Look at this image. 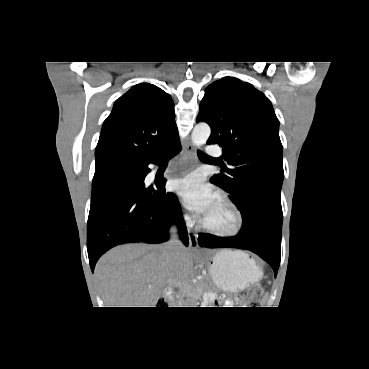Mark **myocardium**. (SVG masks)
<instances>
[{"instance_id":"1","label":"myocardium","mask_w":369,"mask_h":369,"mask_svg":"<svg viewBox=\"0 0 369 369\" xmlns=\"http://www.w3.org/2000/svg\"><path fill=\"white\" fill-rule=\"evenodd\" d=\"M217 199L231 211L234 217L233 226L229 230L222 231V230H218V229H215L209 226L208 224L205 223L203 219H200V222H199L200 228L203 231L207 232L208 234H211L216 237H221V238H230V237H234L238 235L241 232L242 227H243L242 212L240 211L238 206L227 195L223 193H218Z\"/></svg>"}]
</instances>
